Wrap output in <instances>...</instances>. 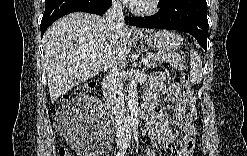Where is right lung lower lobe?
<instances>
[{"instance_id":"obj_1","label":"right lung lower lobe","mask_w":247,"mask_h":156,"mask_svg":"<svg viewBox=\"0 0 247 156\" xmlns=\"http://www.w3.org/2000/svg\"><path fill=\"white\" fill-rule=\"evenodd\" d=\"M112 5V0H46L41 21V36L58 18L71 12L82 11L103 15ZM127 24V20H125Z\"/></svg>"}]
</instances>
